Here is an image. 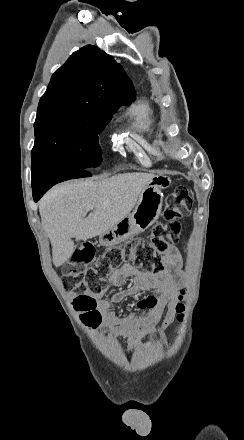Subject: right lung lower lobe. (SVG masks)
<instances>
[{"label": "right lung lower lobe", "instance_id": "right-lung-lower-lobe-1", "mask_svg": "<svg viewBox=\"0 0 244 440\" xmlns=\"http://www.w3.org/2000/svg\"><path fill=\"white\" fill-rule=\"evenodd\" d=\"M88 169H82L70 164L43 163L32 167L33 199L37 202L52 186L69 179L89 177Z\"/></svg>", "mask_w": 244, "mask_h": 440}]
</instances>
